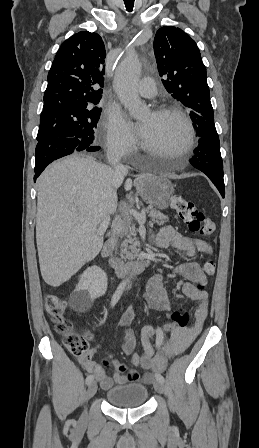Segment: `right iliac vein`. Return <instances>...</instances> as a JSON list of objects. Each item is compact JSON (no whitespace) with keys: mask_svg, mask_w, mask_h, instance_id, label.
I'll use <instances>...</instances> for the list:
<instances>
[{"mask_svg":"<svg viewBox=\"0 0 259 448\" xmlns=\"http://www.w3.org/2000/svg\"><path fill=\"white\" fill-rule=\"evenodd\" d=\"M97 392V384L95 382L91 383L87 389L86 399H91L95 393ZM87 421V413L86 411L82 414L80 423L84 424Z\"/></svg>","mask_w":259,"mask_h":448,"instance_id":"63e3f726","label":"right iliac vein"}]
</instances>
